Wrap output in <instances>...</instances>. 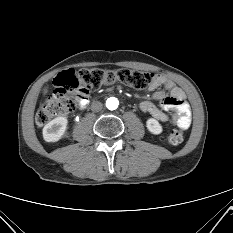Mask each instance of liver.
I'll use <instances>...</instances> for the list:
<instances>
[{"instance_id": "1", "label": "liver", "mask_w": 233, "mask_h": 233, "mask_svg": "<svg viewBox=\"0 0 233 233\" xmlns=\"http://www.w3.org/2000/svg\"><path fill=\"white\" fill-rule=\"evenodd\" d=\"M46 93H47V88L44 89V94H46Z\"/></svg>"}]
</instances>
